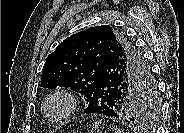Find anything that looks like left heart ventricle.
<instances>
[{
    "instance_id": "obj_1",
    "label": "left heart ventricle",
    "mask_w": 184,
    "mask_h": 133,
    "mask_svg": "<svg viewBox=\"0 0 184 133\" xmlns=\"http://www.w3.org/2000/svg\"><path fill=\"white\" fill-rule=\"evenodd\" d=\"M61 107H62L61 102L56 100V101L51 103V105L49 107V112L51 114H56L57 112H59L61 110Z\"/></svg>"
}]
</instances>
